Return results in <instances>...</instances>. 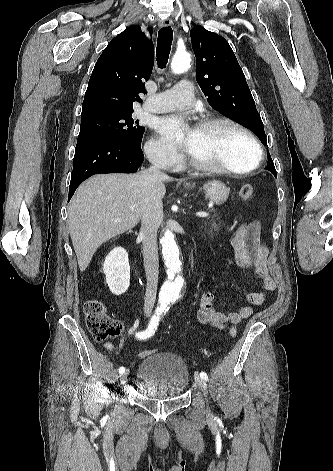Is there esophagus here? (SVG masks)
<instances>
[{
    "label": "esophagus",
    "instance_id": "obj_1",
    "mask_svg": "<svg viewBox=\"0 0 333 471\" xmlns=\"http://www.w3.org/2000/svg\"><path fill=\"white\" fill-rule=\"evenodd\" d=\"M173 22L170 18H163L160 21V27L172 26Z\"/></svg>",
    "mask_w": 333,
    "mask_h": 471
}]
</instances>
